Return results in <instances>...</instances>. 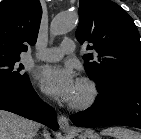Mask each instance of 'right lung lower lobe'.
Listing matches in <instances>:
<instances>
[{
  "instance_id": "1",
  "label": "right lung lower lobe",
  "mask_w": 141,
  "mask_h": 139,
  "mask_svg": "<svg viewBox=\"0 0 141 139\" xmlns=\"http://www.w3.org/2000/svg\"><path fill=\"white\" fill-rule=\"evenodd\" d=\"M0 109L41 122L53 130L59 128L55 110L39 98L30 82L15 87H0Z\"/></svg>"
}]
</instances>
